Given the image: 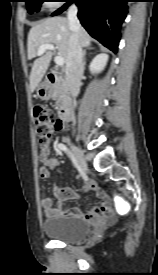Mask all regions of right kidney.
I'll use <instances>...</instances> for the list:
<instances>
[{
    "label": "right kidney",
    "mask_w": 158,
    "mask_h": 275,
    "mask_svg": "<svg viewBox=\"0 0 158 275\" xmlns=\"http://www.w3.org/2000/svg\"><path fill=\"white\" fill-rule=\"evenodd\" d=\"M109 56L107 54L97 55L90 63L89 70L92 74L100 73L106 66Z\"/></svg>",
    "instance_id": "ca27d5eb"
}]
</instances>
